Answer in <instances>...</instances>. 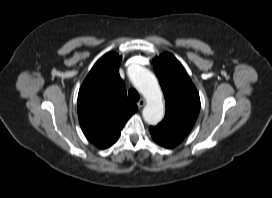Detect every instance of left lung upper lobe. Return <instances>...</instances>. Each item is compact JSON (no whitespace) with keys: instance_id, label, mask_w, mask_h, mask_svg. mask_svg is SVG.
Instances as JSON below:
<instances>
[{"instance_id":"1","label":"left lung upper lobe","mask_w":272,"mask_h":198,"mask_svg":"<svg viewBox=\"0 0 272 198\" xmlns=\"http://www.w3.org/2000/svg\"><path fill=\"white\" fill-rule=\"evenodd\" d=\"M153 66L166 99V114L158 126L186 137L200 111L199 93L172 54H161L154 59Z\"/></svg>"}]
</instances>
